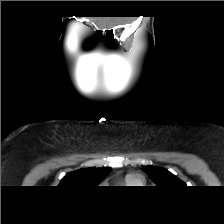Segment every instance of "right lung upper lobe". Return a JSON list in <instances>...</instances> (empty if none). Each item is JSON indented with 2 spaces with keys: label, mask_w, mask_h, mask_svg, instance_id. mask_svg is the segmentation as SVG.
Returning a JSON list of instances; mask_svg holds the SVG:
<instances>
[{
  "label": "right lung upper lobe",
  "mask_w": 224,
  "mask_h": 224,
  "mask_svg": "<svg viewBox=\"0 0 224 224\" xmlns=\"http://www.w3.org/2000/svg\"><path fill=\"white\" fill-rule=\"evenodd\" d=\"M111 171L110 167L79 169L67 173L59 186L70 189L96 187Z\"/></svg>",
  "instance_id": "obj_1"
}]
</instances>
